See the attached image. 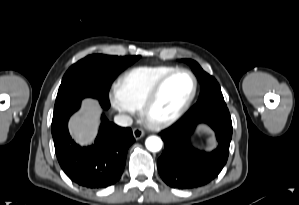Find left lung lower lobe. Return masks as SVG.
Instances as JSON below:
<instances>
[{"instance_id": "1", "label": "left lung lower lobe", "mask_w": 299, "mask_h": 205, "mask_svg": "<svg viewBox=\"0 0 299 205\" xmlns=\"http://www.w3.org/2000/svg\"><path fill=\"white\" fill-rule=\"evenodd\" d=\"M199 123L208 124L216 133L218 147L210 152L193 148L190 134ZM164 148L158 159L163 181L177 189L203 186L221 172L227 162L232 138V121L227 106L190 110L174 125L161 132Z\"/></svg>"}]
</instances>
